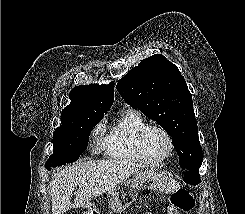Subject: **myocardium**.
Listing matches in <instances>:
<instances>
[{"instance_id":"obj_1","label":"myocardium","mask_w":245,"mask_h":214,"mask_svg":"<svg viewBox=\"0 0 245 214\" xmlns=\"http://www.w3.org/2000/svg\"><path fill=\"white\" fill-rule=\"evenodd\" d=\"M151 130H157V131L161 132L166 137L167 142H168L169 150H168L167 154L163 158L158 159V160L150 159L147 156V154L145 152V148H144L145 137H146L147 133ZM135 144H136L137 152H138L139 156L141 157V159L147 165H150V166L162 165L167 160H169L174 153V141H173L172 136L170 135V133L165 128H163L159 125H146L143 128H141L136 135Z\"/></svg>"}]
</instances>
